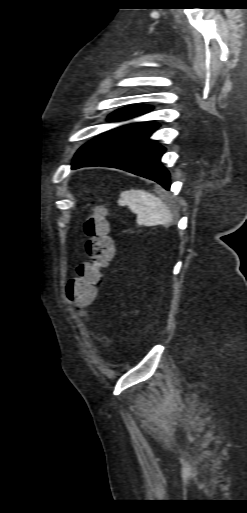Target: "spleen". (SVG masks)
<instances>
[{"instance_id": "1", "label": "spleen", "mask_w": 247, "mask_h": 513, "mask_svg": "<svg viewBox=\"0 0 247 513\" xmlns=\"http://www.w3.org/2000/svg\"><path fill=\"white\" fill-rule=\"evenodd\" d=\"M118 204L128 206L137 214V223L141 225L167 224L172 220L167 204L145 190L131 189L121 192Z\"/></svg>"}]
</instances>
